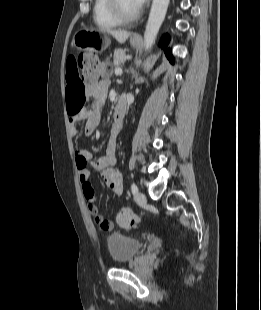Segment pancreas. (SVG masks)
<instances>
[{
    "mask_svg": "<svg viewBox=\"0 0 261 310\" xmlns=\"http://www.w3.org/2000/svg\"><path fill=\"white\" fill-rule=\"evenodd\" d=\"M125 51L121 49H117L114 51V66L119 67L121 64L125 62Z\"/></svg>",
    "mask_w": 261,
    "mask_h": 310,
    "instance_id": "obj_1",
    "label": "pancreas"
}]
</instances>
